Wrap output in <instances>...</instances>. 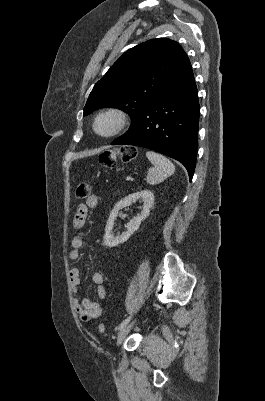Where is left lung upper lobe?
Wrapping results in <instances>:
<instances>
[{"mask_svg": "<svg viewBox=\"0 0 265 401\" xmlns=\"http://www.w3.org/2000/svg\"><path fill=\"white\" fill-rule=\"evenodd\" d=\"M190 64L182 47L170 39H152L126 51L91 91L84 115L97 108L127 112L132 123Z\"/></svg>", "mask_w": 265, "mask_h": 401, "instance_id": "5c2ea615", "label": "left lung upper lobe"}]
</instances>
